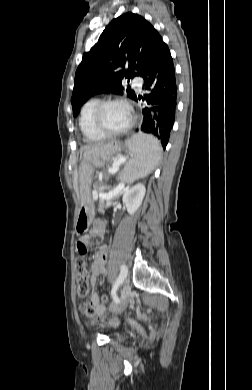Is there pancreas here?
I'll use <instances>...</instances> for the list:
<instances>
[{"label": "pancreas", "instance_id": "obj_1", "mask_svg": "<svg viewBox=\"0 0 252 390\" xmlns=\"http://www.w3.org/2000/svg\"><path fill=\"white\" fill-rule=\"evenodd\" d=\"M94 200H95V197H93ZM105 202H99V216L100 217H104L105 216V213H104V209H105Z\"/></svg>", "mask_w": 252, "mask_h": 390}]
</instances>
